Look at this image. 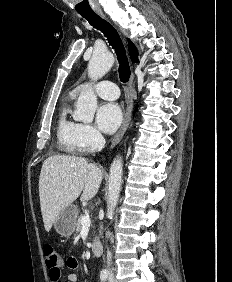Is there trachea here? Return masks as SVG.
<instances>
[{
	"label": "trachea",
	"mask_w": 232,
	"mask_h": 282,
	"mask_svg": "<svg viewBox=\"0 0 232 282\" xmlns=\"http://www.w3.org/2000/svg\"><path fill=\"white\" fill-rule=\"evenodd\" d=\"M81 16L84 17L94 28L100 30L107 38L109 44L113 47L117 55L119 62V78L121 82H127L130 78V67L125 48L117 30L94 12L81 13Z\"/></svg>",
	"instance_id": "3493384b"
}]
</instances>
